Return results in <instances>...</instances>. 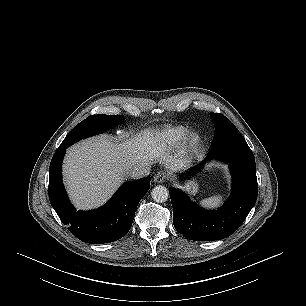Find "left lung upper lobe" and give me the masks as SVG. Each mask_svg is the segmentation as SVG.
I'll list each match as a JSON object with an SVG mask.
<instances>
[{
  "label": "left lung upper lobe",
  "mask_w": 306,
  "mask_h": 306,
  "mask_svg": "<svg viewBox=\"0 0 306 306\" xmlns=\"http://www.w3.org/2000/svg\"><path fill=\"white\" fill-rule=\"evenodd\" d=\"M215 126V134L209 149L231 144H246L237 128L222 114L211 113Z\"/></svg>",
  "instance_id": "left-lung-upper-lobe-1"
}]
</instances>
